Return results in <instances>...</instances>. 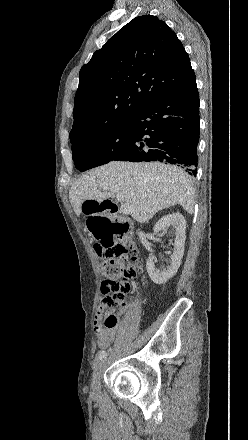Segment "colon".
Masks as SVG:
<instances>
[{"instance_id": "colon-1", "label": "colon", "mask_w": 248, "mask_h": 440, "mask_svg": "<svg viewBox=\"0 0 248 440\" xmlns=\"http://www.w3.org/2000/svg\"><path fill=\"white\" fill-rule=\"evenodd\" d=\"M113 228L116 227L117 217L108 211ZM96 255L102 259L101 272L106 277L101 284V296L98 307L111 310L123 305L127 293L131 289V280L140 272L137 251L133 242L102 241L94 246ZM118 323L115 314L105 317V325L114 327Z\"/></svg>"}]
</instances>
